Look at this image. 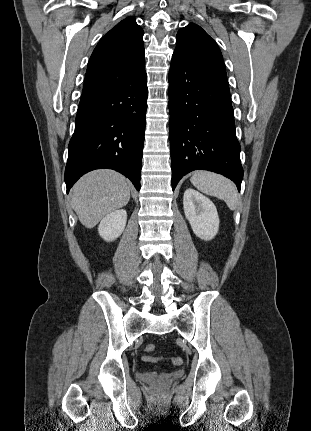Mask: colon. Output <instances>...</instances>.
<instances>
[{
  "label": "colon",
  "instance_id": "5ec220e1",
  "mask_svg": "<svg viewBox=\"0 0 311 431\" xmlns=\"http://www.w3.org/2000/svg\"><path fill=\"white\" fill-rule=\"evenodd\" d=\"M154 350H155V346L153 344H148L145 347L146 352H153ZM142 360L144 362H148V363H156V362L160 361L159 358L154 357V356H149V355H144L142 357ZM171 363L176 365V366H180L183 363V359L181 357H173V358H171Z\"/></svg>",
  "mask_w": 311,
  "mask_h": 431
}]
</instances>
